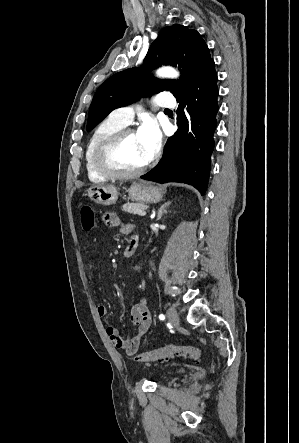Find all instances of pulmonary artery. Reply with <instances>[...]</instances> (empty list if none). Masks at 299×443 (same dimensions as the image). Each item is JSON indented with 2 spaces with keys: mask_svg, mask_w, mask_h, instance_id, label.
<instances>
[{
  "mask_svg": "<svg viewBox=\"0 0 299 443\" xmlns=\"http://www.w3.org/2000/svg\"><path fill=\"white\" fill-rule=\"evenodd\" d=\"M153 103L161 108H171L175 104V97L172 93H160L155 96V98L153 99ZM135 112L136 107L134 106L121 107L114 110L111 113V117L121 124L127 126L132 122Z\"/></svg>",
  "mask_w": 299,
  "mask_h": 443,
  "instance_id": "obj_1",
  "label": "pulmonary artery"
}]
</instances>
